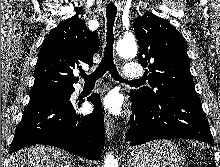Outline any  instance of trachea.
Wrapping results in <instances>:
<instances>
[{
  "label": "trachea",
  "mask_w": 220,
  "mask_h": 167,
  "mask_svg": "<svg viewBox=\"0 0 220 167\" xmlns=\"http://www.w3.org/2000/svg\"><path fill=\"white\" fill-rule=\"evenodd\" d=\"M117 14V7L115 5H108L106 7V18H107V35H106V46L104 49V56L99 63L97 69L87 75L86 73H81L80 76L84 78L86 83H94L99 78L103 77L106 71H109L112 78L119 82L132 83L137 82L139 80L127 81L124 80L118 73L116 65L114 64L113 59V44H114V34H113V26L114 21Z\"/></svg>",
  "instance_id": "trachea-1"
}]
</instances>
